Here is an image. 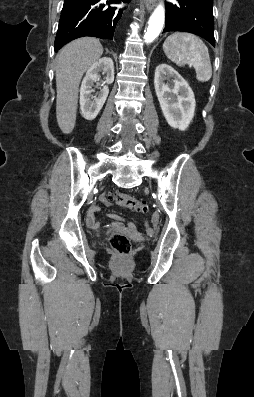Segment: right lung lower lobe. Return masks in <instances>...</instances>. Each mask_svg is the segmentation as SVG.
<instances>
[{
	"label": "right lung lower lobe",
	"instance_id": "obj_1",
	"mask_svg": "<svg viewBox=\"0 0 254 397\" xmlns=\"http://www.w3.org/2000/svg\"><path fill=\"white\" fill-rule=\"evenodd\" d=\"M129 1L109 0L106 3L119 4ZM122 15V9L107 7L103 0H64L55 38V51L83 36L112 40Z\"/></svg>",
	"mask_w": 254,
	"mask_h": 397
}]
</instances>
